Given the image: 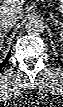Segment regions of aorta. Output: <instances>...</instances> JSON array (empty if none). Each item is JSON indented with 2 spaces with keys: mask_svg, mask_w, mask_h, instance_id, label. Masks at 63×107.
Here are the masks:
<instances>
[{
  "mask_svg": "<svg viewBox=\"0 0 63 107\" xmlns=\"http://www.w3.org/2000/svg\"><path fill=\"white\" fill-rule=\"evenodd\" d=\"M26 32L30 35H39L44 31V22L40 18H30L26 23Z\"/></svg>",
  "mask_w": 63,
  "mask_h": 107,
  "instance_id": "762f6f07",
  "label": "aorta"
}]
</instances>
